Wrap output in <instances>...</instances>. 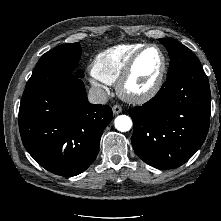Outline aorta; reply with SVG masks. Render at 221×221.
Masks as SVG:
<instances>
[{
	"mask_svg": "<svg viewBox=\"0 0 221 221\" xmlns=\"http://www.w3.org/2000/svg\"><path fill=\"white\" fill-rule=\"evenodd\" d=\"M115 128L121 132H127L132 128V120L127 115H119L114 121Z\"/></svg>",
	"mask_w": 221,
	"mask_h": 221,
	"instance_id": "obj_1",
	"label": "aorta"
}]
</instances>
